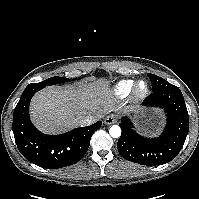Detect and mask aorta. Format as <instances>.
<instances>
[{
  "label": "aorta",
  "instance_id": "1",
  "mask_svg": "<svg viewBox=\"0 0 199 199\" xmlns=\"http://www.w3.org/2000/svg\"><path fill=\"white\" fill-rule=\"evenodd\" d=\"M109 134L113 138H118L121 135V128L118 125H113L109 129Z\"/></svg>",
  "mask_w": 199,
  "mask_h": 199
}]
</instances>
